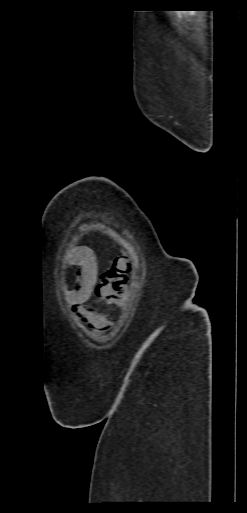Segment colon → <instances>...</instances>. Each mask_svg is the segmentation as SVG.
Listing matches in <instances>:
<instances>
[{
  "mask_svg": "<svg viewBox=\"0 0 247 513\" xmlns=\"http://www.w3.org/2000/svg\"><path fill=\"white\" fill-rule=\"evenodd\" d=\"M129 265L126 257L116 258L109 268L100 274L94 288L95 294L111 304H117L125 292Z\"/></svg>",
  "mask_w": 247,
  "mask_h": 513,
  "instance_id": "5ec220e1",
  "label": "colon"
}]
</instances>
